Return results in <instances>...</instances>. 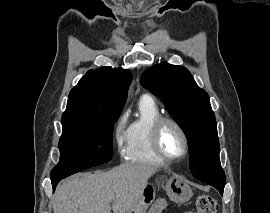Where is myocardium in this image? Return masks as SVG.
<instances>
[{
  "label": "myocardium",
  "instance_id": "obj_1",
  "mask_svg": "<svg viewBox=\"0 0 270 213\" xmlns=\"http://www.w3.org/2000/svg\"><path fill=\"white\" fill-rule=\"evenodd\" d=\"M173 125L181 134L184 141V151L179 157H170L166 155L161 148V133L166 125ZM151 147L155 154L165 162L174 163L185 159L190 152V143L186 130L175 119L171 117L161 116L153 124L150 133Z\"/></svg>",
  "mask_w": 270,
  "mask_h": 213
}]
</instances>
